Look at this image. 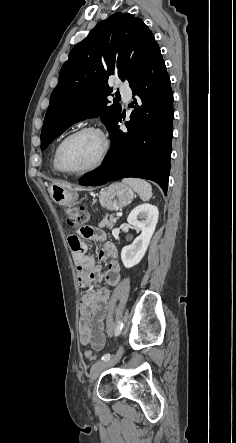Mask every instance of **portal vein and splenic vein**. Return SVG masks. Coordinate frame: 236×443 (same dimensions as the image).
<instances>
[{
  "label": "portal vein and splenic vein",
  "instance_id": "obj_1",
  "mask_svg": "<svg viewBox=\"0 0 236 443\" xmlns=\"http://www.w3.org/2000/svg\"><path fill=\"white\" fill-rule=\"evenodd\" d=\"M116 216L120 217L122 216V213H117Z\"/></svg>",
  "mask_w": 236,
  "mask_h": 443
}]
</instances>
